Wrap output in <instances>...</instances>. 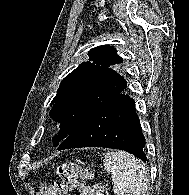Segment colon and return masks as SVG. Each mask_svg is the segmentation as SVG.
Segmentation results:
<instances>
[{
  "label": "colon",
  "instance_id": "obj_1",
  "mask_svg": "<svg viewBox=\"0 0 189 195\" xmlns=\"http://www.w3.org/2000/svg\"><path fill=\"white\" fill-rule=\"evenodd\" d=\"M59 180L54 183H43L42 195H82L81 180L88 177V172L80 165L62 162L57 167ZM96 195H105V185L99 183L95 187Z\"/></svg>",
  "mask_w": 189,
  "mask_h": 195
}]
</instances>
